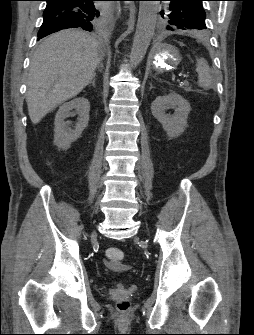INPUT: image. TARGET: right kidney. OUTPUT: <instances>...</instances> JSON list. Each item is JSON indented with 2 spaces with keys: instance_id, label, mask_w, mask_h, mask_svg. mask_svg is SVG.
Masks as SVG:
<instances>
[{
  "instance_id": "ca27d5eb",
  "label": "right kidney",
  "mask_w": 254,
  "mask_h": 335,
  "mask_svg": "<svg viewBox=\"0 0 254 335\" xmlns=\"http://www.w3.org/2000/svg\"><path fill=\"white\" fill-rule=\"evenodd\" d=\"M72 110L79 115L74 129L70 127L71 122L65 121ZM90 103L84 98H76L64 103L56 113L54 122V144L60 149H68L72 142L76 141L83 130L88 126Z\"/></svg>"
}]
</instances>
